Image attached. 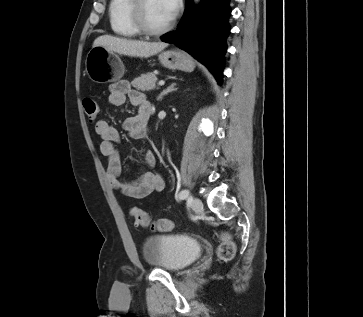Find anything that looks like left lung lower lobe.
Here are the masks:
<instances>
[{
	"mask_svg": "<svg viewBox=\"0 0 363 317\" xmlns=\"http://www.w3.org/2000/svg\"><path fill=\"white\" fill-rule=\"evenodd\" d=\"M230 13L229 0H202L196 10L191 0H186L177 30L162 36L161 40L174 43L206 65L220 84Z\"/></svg>",
	"mask_w": 363,
	"mask_h": 317,
	"instance_id": "left-lung-lower-lobe-1",
	"label": "left lung lower lobe"
}]
</instances>
